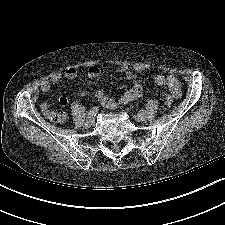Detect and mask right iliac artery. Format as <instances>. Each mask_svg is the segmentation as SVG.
Listing matches in <instances>:
<instances>
[{
  "label": "right iliac artery",
  "instance_id": "right-iliac-artery-1",
  "mask_svg": "<svg viewBox=\"0 0 225 225\" xmlns=\"http://www.w3.org/2000/svg\"><path fill=\"white\" fill-rule=\"evenodd\" d=\"M98 110H99L98 107H92L87 113V118L88 119L94 118L98 113Z\"/></svg>",
  "mask_w": 225,
  "mask_h": 225
}]
</instances>
